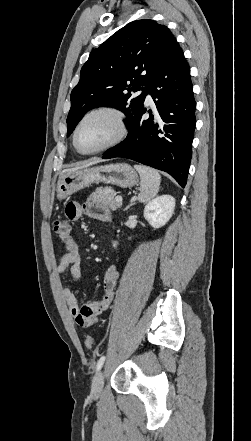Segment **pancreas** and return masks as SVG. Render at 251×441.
I'll return each instance as SVG.
<instances>
[{"label": "pancreas", "mask_w": 251, "mask_h": 441, "mask_svg": "<svg viewBox=\"0 0 251 441\" xmlns=\"http://www.w3.org/2000/svg\"><path fill=\"white\" fill-rule=\"evenodd\" d=\"M115 192L110 187H99L93 192L88 200L93 203L100 204L105 206L112 211H116L121 207V204L118 203L114 198Z\"/></svg>", "instance_id": "pancreas-1"}]
</instances>
